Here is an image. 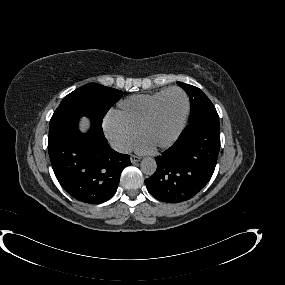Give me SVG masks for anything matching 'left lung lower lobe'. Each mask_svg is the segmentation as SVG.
I'll list each match as a JSON object with an SVG mask.
<instances>
[{
    "instance_id": "0a47b994",
    "label": "left lung lower lobe",
    "mask_w": 285,
    "mask_h": 285,
    "mask_svg": "<svg viewBox=\"0 0 285 285\" xmlns=\"http://www.w3.org/2000/svg\"><path fill=\"white\" fill-rule=\"evenodd\" d=\"M219 150V116L210 110L190 121L179 140L155 158L157 170L145 180L148 191L163 202L189 200L211 179Z\"/></svg>"
}]
</instances>
